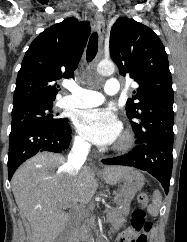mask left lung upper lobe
Returning <instances> with one entry per match:
<instances>
[{
    "instance_id": "obj_1",
    "label": "left lung upper lobe",
    "mask_w": 187,
    "mask_h": 242,
    "mask_svg": "<svg viewBox=\"0 0 187 242\" xmlns=\"http://www.w3.org/2000/svg\"><path fill=\"white\" fill-rule=\"evenodd\" d=\"M110 55L119 73L139 85L126 103L136 143L173 138L172 78L159 37L133 19L118 18L110 33Z\"/></svg>"
}]
</instances>
